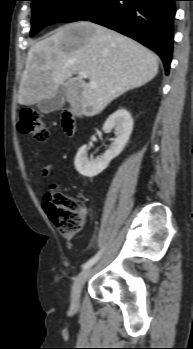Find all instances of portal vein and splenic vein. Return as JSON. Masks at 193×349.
Listing matches in <instances>:
<instances>
[{
	"label": "portal vein and splenic vein",
	"mask_w": 193,
	"mask_h": 349,
	"mask_svg": "<svg viewBox=\"0 0 193 349\" xmlns=\"http://www.w3.org/2000/svg\"><path fill=\"white\" fill-rule=\"evenodd\" d=\"M78 75H79V77L84 78V79H87V77H88V76H87V73H86V72H83V71L79 72ZM88 85H89V87H90L91 89H95V88L97 87V84H96L95 82H93V81H90V82L88 83Z\"/></svg>",
	"instance_id": "portal-vein-and-splenic-vein-1"
}]
</instances>
